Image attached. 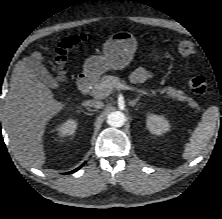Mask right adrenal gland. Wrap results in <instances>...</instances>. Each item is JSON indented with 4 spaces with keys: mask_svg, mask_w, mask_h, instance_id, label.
I'll return each instance as SVG.
<instances>
[{
    "mask_svg": "<svg viewBox=\"0 0 222 219\" xmlns=\"http://www.w3.org/2000/svg\"><path fill=\"white\" fill-rule=\"evenodd\" d=\"M86 109H87L89 112H94V111H95V110L90 109V108H88V107H86Z\"/></svg>",
    "mask_w": 222,
    "mask_h": 219,
    "instance_id": "obj_1",
    "label": "right adrenal gland"
}]
</instances>
